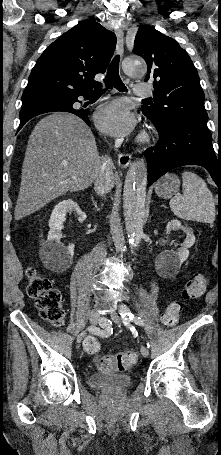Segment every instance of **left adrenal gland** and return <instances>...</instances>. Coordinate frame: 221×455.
<instances>
[{"instance_id":"a2214340","label":"left adrenal gland","mask_w":221,"mask_h":455,"mask_svg":"<svg viewBox=\"0 0 221 455\" xmlns=\"http://www.w3.org/2000/svg\"><path fill=\"white\" fill-rule=\"evenodd\" d=\"M161 207H165V205H161Z\"/></svg>"}]
</instances>
